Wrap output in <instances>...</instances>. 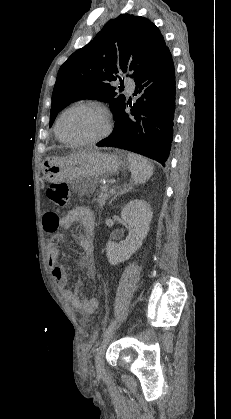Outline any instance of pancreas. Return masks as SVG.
Segmentation results:
<instances>
[{"label": "pancreas", "instance_id": "cf45deb5", "mask_svg": "<svg viewBox=\"0 0 231 419\" xmlns=\"http://www.w3.org/2000/svg\"><path fill=\"white\" fill-rule=\"evenodd\" d=\"M103 187L105 186L101 187V192L98 194V198H97V203L99 204L101 208L105 205V202L109 197L108 190H102Z\"/></svg>", "mask_w": 231, "mask_h": 419}]
</instances>
